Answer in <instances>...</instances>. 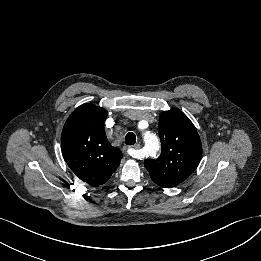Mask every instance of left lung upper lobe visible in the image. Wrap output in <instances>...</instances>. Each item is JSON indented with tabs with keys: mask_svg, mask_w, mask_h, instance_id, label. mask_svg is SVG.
Wrapping results in <instances>:
<instances>
[{
	"mask_svg": "<svg viewBox=\"0 0 261 261\" xmlns=\"http://www.w3.org/2000/svg\"><path fill=\"white\" fill-rule=\"evenodd\" d=\"M158 132L161 155L156 160H145L144 165L156 184L171 188L197 168L202 156L201 141L193 123L176 108L160 113Z\"/></svg>",
	"mask_w": 261,
	"mask_h": 261,
	"instance_id": "left-lung-upper-lobe-1",
	"label": "left lung upper lobe"
}]
</instances>
